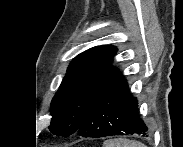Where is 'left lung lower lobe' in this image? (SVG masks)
I'll use <instances>...</instances> for the list:
<instances>
[{"label": "left lung lower lobe", "mask_w": 183, "mask_h": 147, "mask_svg": "<svg viewBox=\"0 0 183 147\" xmlns=\"http://www.w3.org/2000/svg\"><path fill=\"white\" fill-rule=\"evenodd\" d=\"M150 129L139 116L138 101L123 78L112 86L94 105L77 134L99 138L111 135L141 134L148 136Z\"/></svg>", "instance_id": "obj_1"}]
</instances>
